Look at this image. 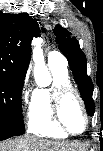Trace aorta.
Wrapping results in <instances>:
<instances>
[{
    "label": "aorta",
    "mask_w": 103,
    "mask_h": 151,
    "mask_svg": "<svg viewBox=\"0 0 103 151\" xmlns=\"http://www.w3.org/2000/svg\"><path fill=\"white\" fill-rule=\"evenodd\" d=\"M32 59L34 61V76L38 81L41 77H49L48 69L45 65L43 49L41 42L38 40L33 41Z\"/></svg>",
    "instance_id": "obj_1"
}]
</instances>
